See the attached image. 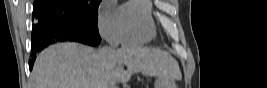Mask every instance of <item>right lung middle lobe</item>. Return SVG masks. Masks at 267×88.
<instances>
[{
	"label": "right lung middle lobe",
	"instance_id": "1",
	"mask_svg": "<svg viewBox=\"0 0 267 88\" xmlns=\"http://www.w3.org/2000/svg\"><path fill=\"white\" fill-rule=\"evenodd\" d=\"M51 5L58 6L64 12L81 20L89 26H97L98 6L101 0H46ZM39 4L38 1L34 5Z\"/></svg>",
	"mask_w": 267,
	"mask_h": 88
}]
</instances>
